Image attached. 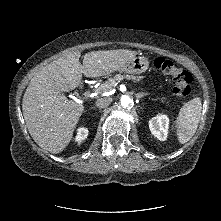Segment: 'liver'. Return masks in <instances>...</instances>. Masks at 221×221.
Listing matches in <instances>:
<instances>
[{
	"mask_svg": "<svg viewBox=\"0 0 221 221\" xmlns=\"http://www.w3.org/2000/svg\"><path fill=\"white\" fill-rule=\"evenodd\" d=\"M137 55L131 50L86 53L74 51L43 67L30 81L22 101L23 116L33 140L43 149L62 152L73 137L84 106L62 93L74 90L82 76L100 77L120 70Z\"/></svg>",
	"mask_w": 221,
	"mask_h": 221,
	"instance_id": "6515ba94",
	"label": "liver"
}]
</instances>
